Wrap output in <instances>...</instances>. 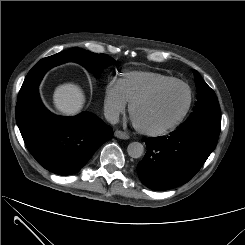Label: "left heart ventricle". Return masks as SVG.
Instances as JSON below:
<instances>
[{"instance_id":"obj_1","label":"left heart ventricle","mask_w":245,"mask_h":245,"mask_svg":"<svg viewBox=\"0 0 245 245\" xmlns=\"http://www.w3.org/2000/svg\"><path fill=\"white\" fill-rule=\"evenodd\" d=\"M188 92L182 85H172L153 99L139 105L133 119L139 126L157 130L174 122L187 104Z\"/></svg>"}]
</instances>
